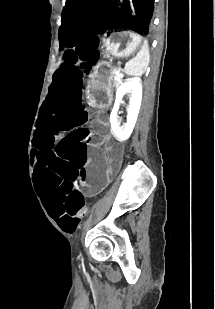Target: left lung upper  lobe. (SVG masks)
I'll list each match as a JSON object with an SVG mask.
<instances>
[{
    "instance_id": "left-lung-upper-lobe-1",
    "label": "left lung upper lobe",
    "mask_w": 215,
    "mask_h": 309,
    "mask_svg": "<svg viewBox=\"0 0 215 309\" xmlns=\"http://www.w3.org/2000/svg\"><path fill=\"white\" fill-rule=\"evenodd\" d=\"M154 0H66L59 29L60 50L112 29L148 35Z\"/></svg>"
}]
</instances>
